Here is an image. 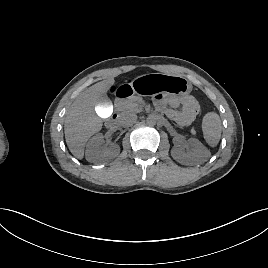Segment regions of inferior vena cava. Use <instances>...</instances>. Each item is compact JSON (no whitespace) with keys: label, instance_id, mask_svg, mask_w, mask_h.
Listing matches in <instances>:
<instances>
[{"label":"inferior vena cava","instance_id":"inferior-vena-cava-1","mask_svg":"<svg viewBox=\"0 0 268 268\" xmlns=\"http://www.w3.org/2000/svg\"><path fill=\"white\" fill-rule=\"evenodd\" d=\"M137 121V115L135 113H128L125 114L121 119H120V124L123 127H128L133 125Z\"/></svg>","mask_w":268,"mask_h":268}]
</instances>
